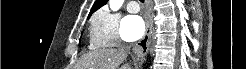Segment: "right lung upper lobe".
Here are the masks:
<instances>
[{"label": "right lung upper lobe", "instance_id": "obj_1", "mask_svg": "<svg viewBox=\"0 0 246 69\" xmlns=\"http://www.w3.org/2000/svg\"><path fill=\"white\" fill-rule=\"evenodd\" d=\"M108 0H96L93 7L91 8V11L89 13L88 18L91 16L92 13H94L96 10H98L100 7L104 6L107 3Z\"/></svg>", "mask_w": 246, "mask_h": 69}]
</instances>
